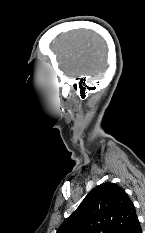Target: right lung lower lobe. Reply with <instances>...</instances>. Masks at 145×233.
I'll use <instances>...</instances> for the list:
<instances>
[{
    "mask_svg": "<svg viewBox=\"0 0 145 233\" xmlns=\"http://www.w3.org/2000/svg\"><path fill=\"white\" fill-rule=\"evenodd\" d=\"M127 233H142V229L138 219L134 221V223L132 224L131 228Z\"/></svg>",
    "mask_w": 145,
    "mask_h": 233,
    "instance_id": "right-lung-lower-lobe-1",
    "label": "right lung lower lobe"
}]
</instances>
